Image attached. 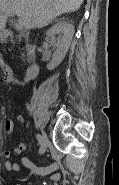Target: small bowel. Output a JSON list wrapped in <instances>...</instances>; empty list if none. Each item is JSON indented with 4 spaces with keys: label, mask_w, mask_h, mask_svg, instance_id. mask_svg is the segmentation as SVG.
Segmentation results:
<instances>
[{
    "label": "small bowel",
    "mask_w": 119,
    "mask_h": 185,
    "mask_svg": "<svg viewBox=\"0 0 119 185\" xmlns=\"http://www.w3.org/2000/svg\"><path fill=\"white\" fill-rule=\"evenodd\" d=\"M1 67V79L4 83H9V84H21L22 82L15 77L13 69L8 65L6 62L1 61L0 63ZM18 121L22 122L23 117L19 116ZM3 131L6 134H10L13 131V121L9 118H6L3 123ZM27 150V146L23 143H19L15 148L14 152L17 154H21L24 151ZM4 166L6 170L8 171H19L20 166L17 163L11 162V151L5 150L4 153ZM21 163L24 167L29 168L33 173L39 174V175H46L50 172L55 171L58 168V164H52L50 166H36L30 162V160L23 156L21 158ZM54 180H59L60 179V174H56L53 177Z\"/></svg>",
    "instance_id": "c3829d8e"
}]
</instances>
